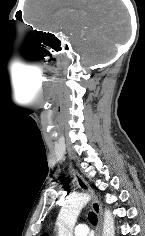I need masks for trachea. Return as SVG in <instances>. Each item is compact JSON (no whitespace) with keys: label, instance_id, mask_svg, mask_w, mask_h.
Listing matches in <instances>:
<instances>
[{"label":"trachea","instance_id":"3493384b","mask_svg":"<svg viewBox=\"0 0 145 236\" xmlns=\"http://www.w3.org/2000/svg\"><path fill=\"white\" fill-rule=\"evenodd\" d=\"M88 220H89V222H90L92 225H96V224H97V216H96V214L93 213V212H90V213L88 214Z\"/></svg>","mask_w":145,"mask_h":236}]
</instances>
